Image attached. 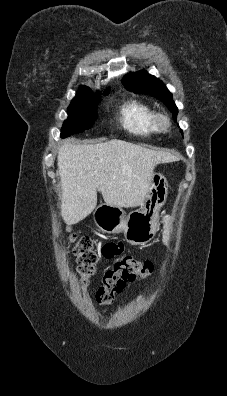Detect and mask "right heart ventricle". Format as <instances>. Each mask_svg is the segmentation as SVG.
I'll return each instance as SVG.
<instances>
[{
  "instance_id": "right-heart-ventricle-1",
  "label": "right heart ventricle",
  "mask_w": 227,
  "mask_h": 396,
  "mask_svg": "<svg viewBox=\"0 0 227 396\" xmlns=\"http://www.w3.org/2000/svg\"><path fill=\"white\" fill-rule=\"evenodd\" d=\"M154 109L147 103L132 99L119 110L120 122L124 129L137 136H151L159 132L155 124Z\"/></svg>"
}]
</instances>
